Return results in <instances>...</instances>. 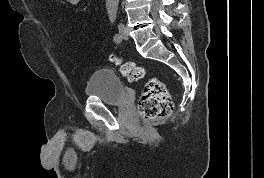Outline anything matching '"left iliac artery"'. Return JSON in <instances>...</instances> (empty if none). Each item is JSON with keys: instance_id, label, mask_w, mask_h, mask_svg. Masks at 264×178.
I'll return each mask as SVG.
<instances>
[{"instance_id": "1", "label": "left iliac artery", "mask_w": 264, "mask_h": 178, "mask_svg": "<svg viewBox=\"0 0 264 178\" xmlns=\"http://www.w3.org/2000/svg\"><path fill=\"white\" fill-rule=\"evenodd\" d=\"M116 15H117V11L116 10L109 11V19H110L111 23L115 22ZM113 39H114L115 42H120L121 41V37H120L119 34H115Z\"/></svg>"}]
</instances>
